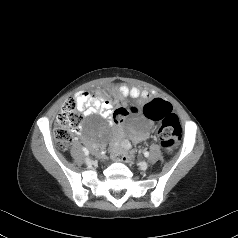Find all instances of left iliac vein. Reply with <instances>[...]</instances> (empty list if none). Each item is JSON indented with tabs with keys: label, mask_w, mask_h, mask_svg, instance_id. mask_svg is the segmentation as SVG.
Returning a JSON list of instances; mask_svg holds the SVG:
<instances>
[{
	"label": "left iliac vein",
	"mask_w": 238,
	"mask_h": 238,
	"mask_svg": "<svg viewBox=\"0 0 238 238\" xmlns=\"http://www.w3.org/2000/svg\"><path fill=\"white\" fill-rule=\"evenodd\" d=\"M148 166H149V165H148L147 162H141V163H140V167H141L142 170H146V169L148 168Z\"/></svg>",
	"instance_id": "4c4485c4"
}]
</instances>
